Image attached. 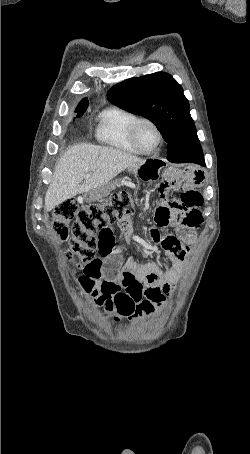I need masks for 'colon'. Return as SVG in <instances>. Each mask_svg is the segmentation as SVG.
<instances>
[{"label":"colon","mask_w":250,"mask_h":454,"mask_svg":"<svg viewBox=\"0 0 250 454\" xmlns=\"http://www.w3.org/2000/svg\"><path fill=\"white\" fill-rule=\"evenodd\" d=\"M134 210L133 197L126 191L113 194L103 203L85 207H78L74 200L67 199L54 209L52 226L59 237L68 242V259L75 268H81L94 259L99 232L130 216Z\"/></svg>","instance_id":"5ec220e1"}]
</instances>
